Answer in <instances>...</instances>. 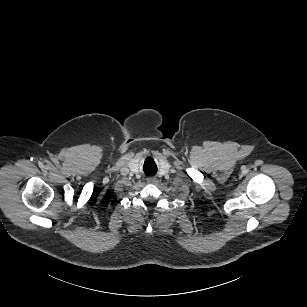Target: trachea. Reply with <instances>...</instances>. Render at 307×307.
<instances>
[{
	"label": "trachea",
	"mask_w": 307,
	"mask_h": 307,
	"mask_svg": "<svg viewBox=\"0 0 307 307\" xmlns=\"http://www.w3.org/2000/svg\"><path fill=\"white\" fill-rule=\"evenodd\" d=\"M156 171H157V169H150V170L146 171V174L153 175V174H155Z\"/></svg>",
	"instance_id": "trachea-1"
}]
</instances>
